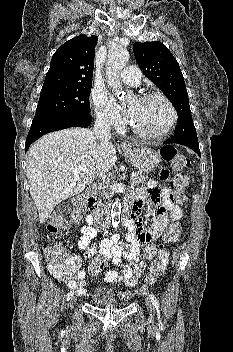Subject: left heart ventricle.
Instances as JSON below:
<instances>
[{"label":"left heart ventricle","mask_w":233,"mask_h":352,"mask_svg":"<svg viewBox=\"0 0 233 352\" xmlns=\"http://www.w3.org/2000/svg\"><path fill=\"white\" fill-rule=\"evenodd\" d=\"M132 123L140 130L158 133L164 130L171 118V113L164 101L152 98L145 101H132L128 107Z\"/></svg>","instance_id":"left-heart-ventricle-1"}]
</instances>
